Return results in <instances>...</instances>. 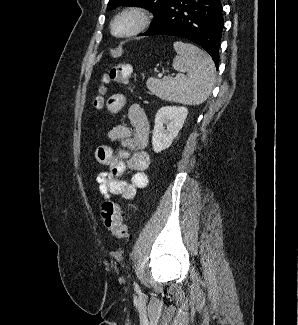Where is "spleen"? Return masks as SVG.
<instances>
[{"label":"spleen","mask_w":298,"mask_h":325,"mask_svg":"<svg viewBox=\"0 0 298 325\" xmlns=\"http://www.w3.org/2000/svg\"><path fill=\"white\" fill-rule=\"evenodd\" d=\"M173 46L176 50L173 66L178 74L164 78L149 76L146 84L151 94L162 100L202 104L210 96L215 82V64L211 56L195 44L176 40Z\"/></svg>","instance_id":"1"}]
</instances>
